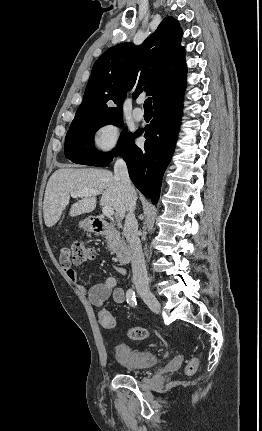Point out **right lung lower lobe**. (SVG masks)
Instances as JSON below:
<instances>
[{"label": "right lung lower lobe", "mask_w": 262, "mask_h": 431, "mask_svg": "<svg viewBox=\"0 0 262 431\" xmlns=\"http://www.w3.org/2000/svg\"><path fill=\"white\" fill-rule=\"evenodd\" d=\"M184 92L169 97L154 107V117L143 130L144 148L134 144L133 134L120 153L127 163L129 175L135 186L156 204L164 171L174 151L182 116Z\"/></svg>", "instance_id": "obj_1"}]
</instances>
